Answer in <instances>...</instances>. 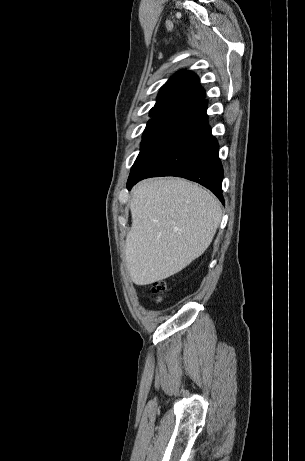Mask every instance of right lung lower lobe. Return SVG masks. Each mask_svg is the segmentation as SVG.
Wrapping results in <instances>:
<instances>
[{
	"mask_svg": "<svg viewBox=\"0 0 305 461\" xmlns=\"http://www.w3.org/2000/svg\"><path fill=\"white\" fill-rule=\"evenodd\" d=\"M206 107L207 101L204 100L189 108L167 136L132 167L127 182L128 189L144 178L177 176L205 186L224 204L219 145L211 134Z\"/></svg>",
	"mask_w": 305,
	"mask_h": 461,
	"instance_id": "1",
	"label": "right lung lower lobe"
}]
</instances>
